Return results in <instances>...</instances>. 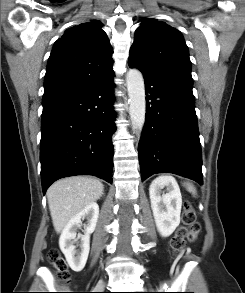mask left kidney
Returning a JSON list of instances; mask_svg holds the SVG:
<instances>
[{"label": "left kidney", "mask_w": 245, "mask_h": 293, "mask_svg": "<svg viewBox=\"0 0 245 293\" xmlns=\"http://www.w3.org/2000/svg\"><path fill=\"white\" fill-rule=\"evenodd\" d=\"M163 188L167 193H162ZM149 195L157 230L163 237H168L180 224V188L173 177L160 176L152 181Z\"/></svg>", "instance_id": "obj_1"}]
</instances>
